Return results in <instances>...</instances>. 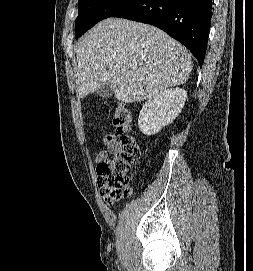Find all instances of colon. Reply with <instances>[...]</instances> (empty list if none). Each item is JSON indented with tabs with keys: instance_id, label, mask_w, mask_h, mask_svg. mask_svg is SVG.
<instances>
[{
	"instance_id": "1",
	"label": "colon",
	"mask_w": 253,
	"mask_h": 271,
	"mask_svg": "<svg viewBox=\"0 0 253 271\" xmlns=\"http://www.w3.org/2000/svg\"><path fill=\"white\" fill-rule=\"evenodd\" d=\"M112 124L120 137V151L106 156L97 166V187L109 205L120 203L129 194L137 152L136 141L131 134L133 115L125 105L116 106Z\"/></svg>"
}]
</instances>
